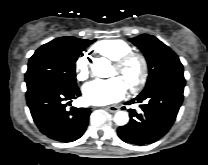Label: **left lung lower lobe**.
Here are the masks:
<instances>
[{"label": "left lung lower lobe", "mask_w": 208, "mask_h": 165, "mask_svg": "<svg viewBox=\"0 0 208 165\" xmlns=\"http://www.w3.org/2000/svg\"><path fill=\"white\" fill-rule=\"evenodd\" d=\"M185 79H168L139 94L135 101L141 112L129 109L130 121L117 130L118 136L126 143L144 145L162 138L173 125L183 101Z\"/></svg>", "instance_id": "left-lung-lower-lobe-1"}]
</instances>
